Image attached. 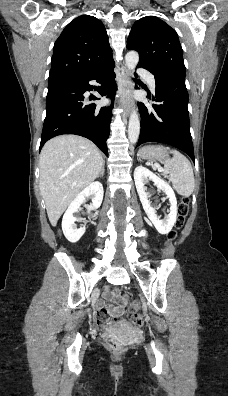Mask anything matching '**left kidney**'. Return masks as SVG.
<instances>
[{
  "label": "left kidney",
  "instance_id": "obj_1",
  "mask_svg": "<svg viewBox=\"0 0 228 396\" xmlns=\"http://www.w3.org/2000/svg\"><path fill=\"white\" fill-rule=\"evenodd\" d=\"M134 180L140 201L148 218L151 220V222L154 224L155 228L160 234L169 233L174 226L177 218V200L173 189L167 182L160 179L150 170L141 165L135 168ZM149 180L153 181L154 185L159 190H162L169 198V202L171 205L170 213L164 220L159 219L156 214L155 208H153L149 202L150 194L146 191L145 188V184Z\"/></svg>",
  "mask_w": 228,
  "mask_h": 396
}]
</instances>
